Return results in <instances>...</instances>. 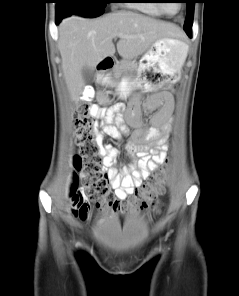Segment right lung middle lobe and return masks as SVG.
I'll return each mask as SVG.
<instances>
[{
  "label": "right lung middle lobe",
  "mask_w": 239,
  "mask_h": 296,
  "mask_svg": "<svg viewBox=\"0 0 239 296\" xmlns=\"http://www.w3.org/2000/svg\"><path fill=\"white\" fill-rule=\"evenodd\" d=\"M111 0H58L57 11L64 16L78 14L84 17H97L104 13Z\"/></svg>",
  "instance_id": "dd1d6c3e"
}]
</instances>
